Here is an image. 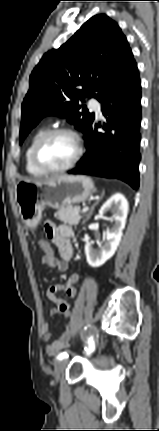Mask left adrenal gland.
<instances>
[{"label":"left adrenal gland","mask_w":159,"mask_h":431,"mask_svg":"<svg viewBox=\"0 0 159 431\" xmlns=\"http://www.w3.org/2000/svg\"><path fill=\"white\" fill-rule=\"evenodd\" d=\"M103 195H104V193H102V195H101V197H103ZM100 200H97L93 205H92V207H91V209H90V211H89V213H88V215H87V217H86V220L85 221H87L88 219H90V217H91V215H92V213H93V211H94V208H95V206L98 204V202H99Z\"/></svg>","instance_id":"obj_1"}]
</instances>
